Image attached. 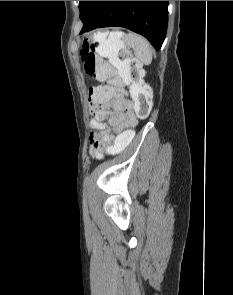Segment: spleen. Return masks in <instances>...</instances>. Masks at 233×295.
<instances>
[{
	"label": "spleen",
	"mask_w": 233,
	"mask_h": 295,
	"mask_svg": "<svg viewBox=\"0 0 233 295\" xmlns=\"http://www.w3.org/2000/svg\"><path fill=\"white\" fill-rule=\"evenodd\" d=\"M125 46L134 50V54L144 64L152 61V49L149 42L141 35L136 33L124 34L120 31L110 32L106 39L103 35L99 36V52L102 56L108 57L109 62L118 70H121L124 63L119 59V51Z\"/></svg>",
	"instance_id": "obj_1"
}]
</instances>
